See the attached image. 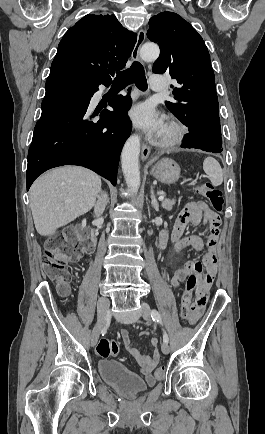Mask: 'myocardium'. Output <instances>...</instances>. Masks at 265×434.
I'll return each instance as SVG.
<instances>
[{
  "label": "myocardium",
  "mask_w": 265,
  "mask_h": 434,
  "mask_svg": "<svg viewBox=\"0 0 265 434\" xmlns=\"http://www.w3.org/2000/svg\"><path fill=\"white\" fill-rule=\"evenodd\" d=\"M184 134V127L176 121H171L166 125L158 145L162 148L174 147L182 141Z\"/></svg>",
  "instance_id": "myocardium-1"
}]
</instances>
